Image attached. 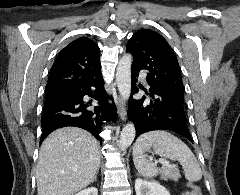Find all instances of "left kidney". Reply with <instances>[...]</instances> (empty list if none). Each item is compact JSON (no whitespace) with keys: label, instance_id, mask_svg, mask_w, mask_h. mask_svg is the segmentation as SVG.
Returning a JSON list of instances; mask_svg holds the SVG:
<instances>
[{"label":"left kidney","instance_id":"5707ae66","mask_svg":"<svg viewBox=\"0 0 240 195\" xmlns=\"http://www.w3.org/2000/svg\"><path fill=\"white\" fill-rule=\"evenodd\" d=\"M135 191L136 195H170L168 189L159 181H147L141 177L135 179Z\"/></svg>","mask_w":240,"mask_h":195}]
</instances>
